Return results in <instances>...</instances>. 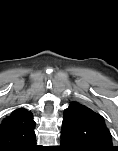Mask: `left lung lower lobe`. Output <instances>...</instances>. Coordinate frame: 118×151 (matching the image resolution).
I'll list each match as a JSON object with an SVG mask.
<instances>
[{
    "mask_svg": "<svg viewBox=\"0 0 118 151\" xmlns=\"http://www.w3.org/2000/svg\"><path fill=\"white\" fill-rule=\"evenodd\" d=\"M62 151H84L83 148L71 137L61 134Z\"/></svg>",
    "mask_w": 118,
    "mask_h": 151,
    "instance_id": "1",
    "label": "left lung lower lobe"
}]
</instances>
